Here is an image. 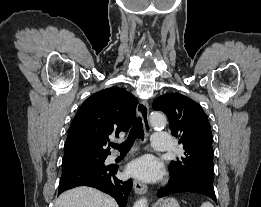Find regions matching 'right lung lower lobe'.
I'll list each match as a JSON object with an SVG mask.
<instances>
[{
	"mask_svg": "<svg viewBox=\"0 0 261 207\" xmlns=\"http://www.w3.org/2000/svg\"><path fill=\"white\" fill-rule=\"evenodd\" d=\"M118 166L98 165L62 172L58 195L76 186L97 188L115 198L120 207H126L132 188V180L121 181L115 177Z\"/></svg>",
	"mask_w": 261,
	"mask_h": 207,
	"instance_id": "obj_1",
	"label": "right lung lower lobe"
}]
</instances>
